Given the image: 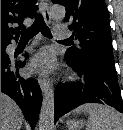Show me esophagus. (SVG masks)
<instances>
[{"mask_svg": "<svg viewBox=\"0 0 123 130\" xmlns=\"http://www.w3.org/2000/svg\"><path fill=\"white\" fill-rule=\"evenodd\" d=\"M40 11L44 17V20L47 22V23H50L51 21V17H50V13H49V5L47 2H43L41 5H40ZM38 83L42 89V91L44 93H46L49 89V81L45 78H41L39 77L38 78Z\"/></svg>", "mask_w": 123, "mask_h": 130, "instance_id": "1", "label": "esophagus"}]
</instances>
